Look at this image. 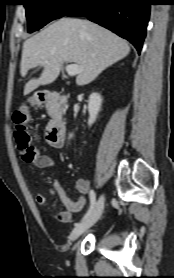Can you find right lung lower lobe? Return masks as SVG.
I'll list each match as a JSON object with an SVG mask.
<instances>
[{
	"label": "right lung lower lobe",
	"mask_w": 174,
	"mask_h": 278,
	"mask_svg": "<svg viewBox=\"0 0 174 278\" xmlns=\"http://www.w3.org/2000/svg\"><path fill=\"white\" fill-rule=\"evenodd\" d=\"M150 5V0H78L64 16H86L130 41L140 53Z\"/></svg>",
	"instance_id": "right-lung-lower-lobe-1"
}]
</instances>
